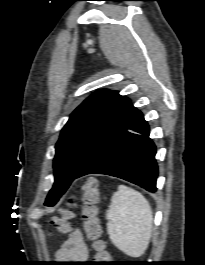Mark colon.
Masks as SVG:
<instances>
[{"instance_id":"obj_1","label":"colon","mask_w":205,"mask_h":265,"mask_svg":"<svg viewBox=\"0 0 205 265\" xmlns=\"http://www.w3.org/2000/svg\"><path fill=\"white\" fill-rule=\"evenodd\" d=\"M81 217L83 227L88 239L92 242L95 250L94 265H103L109 260L105 241L101 239V227L98 219L97 203L99 199L98 184L95 178H88L80 189ZM73 217L70 208H63L59 214L54 216L51 227L58 232L69 230V221Z\"/></svg>"}]
</instances>
